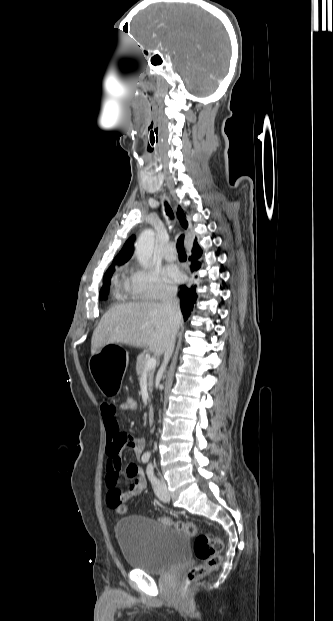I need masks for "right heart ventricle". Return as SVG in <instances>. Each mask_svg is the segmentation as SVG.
Returning <instances> with one entry per match:
<instances>
[{"instance_id": "1", "label": "right heart ventricle", "mask_w": 333, "mask_h": 621, "mask_svg": "<svg viewBox=\"0 0 333 621\" xmlns=\"http://www.w3.org/2000/svg\"><path fill=\"white\" fill-rule=\"evenodd\" d=\"M114 295L119 300L127 301L137 299L131 289L130 278L127 276L126 271H123L116 277L114 284Z\"/></svg>"}]
</instances>
